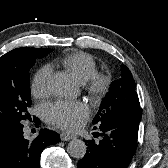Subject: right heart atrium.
I'll list each match as a JSON object with an SVG mask.
<instances>
[{
	"label": "right heart atrium",
	"instance_id": "d8ad5b80",
	"mask_svg": "<svg viewBox=\"0 0 168 168\" xmlns=\"http://www.w3.org/2000/svg\"><path fill=\"white\" fill-rule=\"evenodd\" d=\"M51 69L48 66L40 68L31 83V93L34 97H45L49 92Z\"/></svg>",
	"mask_w": 168,
	"mask_h": 168
}]
</instances>
